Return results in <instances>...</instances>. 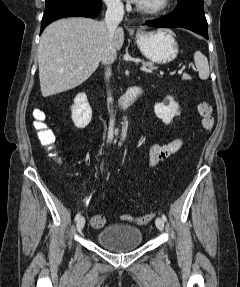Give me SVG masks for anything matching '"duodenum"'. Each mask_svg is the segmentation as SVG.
<instances>
[{
  "instance_id": "obj_1",
  "label": "duodenum",
  "mask_w": 240,
  "mask_h": 287,
  "mask_svg": "<svg viewBox=\"0 0 240 287\" xmlns=\"http://www.w3.org/2000/svg\"><path fill=\"white\" fill-rule=\"evenodd\" d=\"M142 94V89L139 86L130 88L122 97L117 101L119 108H125L133 104Z\"/></svg>"
}]
</instances>
